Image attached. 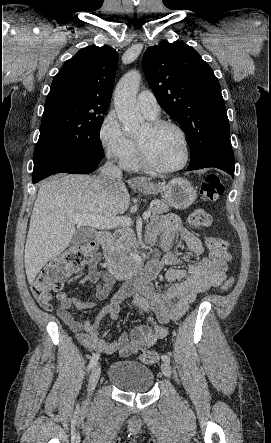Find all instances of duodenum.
Instances as JSON below:
<instances>
[{"mask_svg": "<svg viewBox=\"0 0 271 443\" xmlns=\"http://www.w3.org/2000/svg\"><path fill=\"white\" fill-rule=\"evenodd\" d=\"M96 240L102 246L107 247L111 241V234L105 231L98 232L96 235ZM105 268L110 274L118 278L134 277L143 272L140 263L134 259H107Z\"/></svg>", "mask_w": 271, "mask_h": 443, "instance_id": "410a0bca", "label": "duodenum"}]
</instances>
